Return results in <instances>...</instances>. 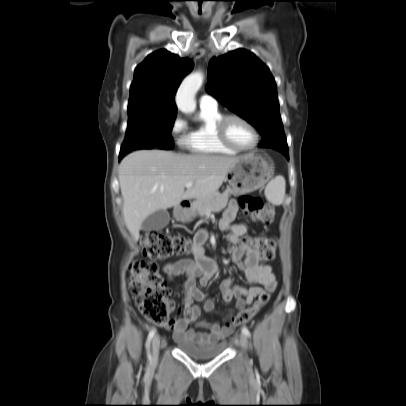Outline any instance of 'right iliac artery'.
<instances>
[{
    "label": "right iliac artery",
    "mask_w": 406,
    "mask_h": 406,
    "mask_svg": "<svg viewBox=\"0 0 406 406\" xmlns=\"http://www.w3.org/2000/svg\"><path fill=\"white\" fill-rule=\"evenodd\" d=\"M155 333H156V330L152 329L148 334V338H147V342H146L148 358H150V351H149L150 350V343H151V340L153 339Z\"/></svg>",
    "instance_id": "82829eb1"
}]
</instances>
